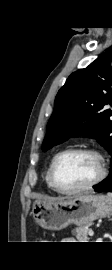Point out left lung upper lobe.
<instances>
[{
	"instance_id": "5c2ea615",
	"label": "left lung upper lobe",
	"mask_w": 112,
	"mask_h": 270,
	"mask_svg": "<svg viewBox=\"0 0 112 270\" xmlns=\"http://www.w3.org/2000/svg\"><path fill=\"white\" fill-rule=\"evenodd\" d=\"M112 46L84 69L72 73L59 90L42 150L70 137L89 135L112 155Z\"/></svg>"
}]
</instances>
